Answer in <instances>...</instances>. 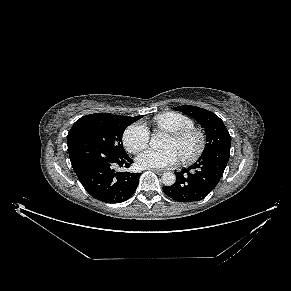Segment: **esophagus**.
<instances>
[{
    "label": "esophagus",
    "mask_w": 291,
    "mask_h": 291,
    "mask_svg": "<svg viewBox=\"0 0 291 291\" xmlns=\"http://www.w3.org/2000/svg\"><path fill=\"white\" fill-rule=\"evenodd\" d=\"M152 171L158 173V174H162L164 171L162 170H159V169H152Z\"/></svg>",
    "instance_id": "34e87169"
}]
</instances>
